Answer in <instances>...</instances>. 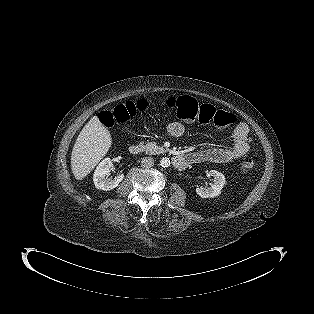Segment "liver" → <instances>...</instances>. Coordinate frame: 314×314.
I'll list each match as a JSON object with an SVG mask.
<instances>
[{
	"instance_id": "obj_1",
	"label": "liver",
	"mask_w": 314,
	"mask_h": 314,
	"mask_svg": "<svg viewBox=\"0 0 314 314\" xmlns=\"http://www.w3.org/2000/svg\"><path fill=\"white\" fill-rule=\"evenodd\" d=\"M112 137L98 117L84 126L76 139L71 154V169L77 180L86 177L107 154Z\"/></svg>"
}]
</instances>
